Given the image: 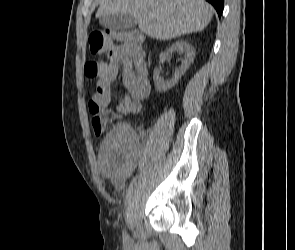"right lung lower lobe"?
<instances>
[{"label":"right lung lower lobe","instance_id":"98d812e1","mask_svg":"<svg viewBox=\"0 0 295 250\" xmlns=\"http://www.w3.org/2000/svg\"><path fill=\"white\" fill-rule=\"evenodd\" d=\"M207 2L211 3L214 8L216 9L218 16L220 17L223 12L224 0H206Z\"/></svg>","mask_w":295,"mask_h":250}]
</instances>
